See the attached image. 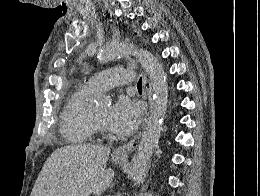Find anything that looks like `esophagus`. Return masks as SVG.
Masks as SVG:
<instances>
[{
	"label": "esophagus",
	"instance_id": "1",
	"mask_svg": "<svg viewBox=\"0 0 260 196\" xmlns=\"http://www.w3.org/2000/svg\"><path fill=\"white\" fill-rule=\"evenodd\" d=\"M143 88L146 92L147 100H148V113L151 108V102H152V87L151 84L146 76V74L143 75ZM147 116L145 117V121L147 119ZM138 140H139V135L129 141L128 143L119 146L116 148L113 152V158L114 159H126L128 158L129 154L132 153L138 146Z\"/></svg>",
	"mask_w": 260,
	"mask_h": 196
}]
</instances>
